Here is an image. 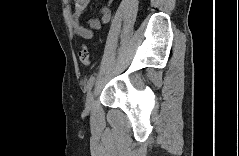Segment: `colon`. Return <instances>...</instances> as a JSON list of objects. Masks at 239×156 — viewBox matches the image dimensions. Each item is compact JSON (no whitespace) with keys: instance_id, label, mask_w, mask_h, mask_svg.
<instances>
[{"instance_id":"colon-1","label":"colon","mask_w":239,"mask_h":156,"mask_svg":"<svg viewBox=\"0 0 239 156\" xmlns=\"http://www.w3.org/2000/svg\"><path fill=\"white\" fill-rule=\"evenodd\" d=\"M79 60L84 65H89L91 63V56L87 45H82L79 51Z\"/></svg>"}]
</instances>
